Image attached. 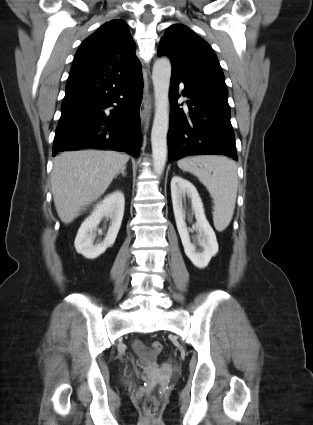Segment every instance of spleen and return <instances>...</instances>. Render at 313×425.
Here are the masks:
<instances>
[{
  "label": "spleen",
  "instance_id": "obj_1",
  "mask_svg": "<svg viewBox=\"0 0 313 425\" xmlns=\"http://www.w3.org/2000/svg\"><path fill=\"white\" fill-rule=\"evenodd\" d=\"M177 164L207 188L214 201V226L218 231L225 230L232 220L237 197L236 163L224 156L203 155L180 159Z\"/></svg>",
  "mask_w": 313,
  "mask_h": 425
}]
</instances>
